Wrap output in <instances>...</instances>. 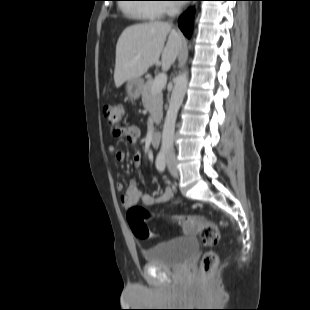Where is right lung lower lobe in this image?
Masks as SVG:
<instances>
[{"label": "right lung lower lobe", "mask_w": 310, "mask_h": 310, "mask_svg": "<svg viewBox=\"0 0 310 310\" xmlns=\"http://www.w3.org/2000/svg\"><path fill=\"white\" fill-rule=\"evenodd\" d=\"M192 9H188L178 19V25L184 35L190 38L192 34L193 20H192Z\"/></svg>", "instance_id": "right-lung-lower-lobe-1"}]
</instances>
